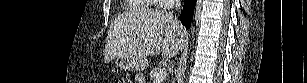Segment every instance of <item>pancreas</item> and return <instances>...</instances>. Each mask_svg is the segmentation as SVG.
<instances>
[{"label": "pancreas", "mask_w": 307, "mask_h": 83, "mask_svg": "<svg viewBox=\"0 0 307 83\" xmlns=\"http://www.w3.org/2000/svg\"><path fill=\"white\" fill-rule=\"evenodd\" d=\"M158 71H159L158 68H155L154 70H152V72L150 73V78L154 79Z\"/></svg>", "instance_id": "pancreas-1"}]
</instances>
